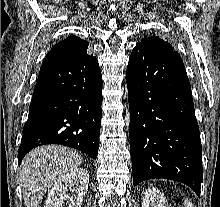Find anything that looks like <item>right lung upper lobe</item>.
<instances>
[{
	"label": "right lung upper lobe",
	"instance_id": "cb5924a9",
	"mask_svg": "<svg viewBox=\"0 0 220 207\" xmlns=\"http://www.w3.org/2000/svg\"><path fill=\"white\" fill-rule=\"evenodd\" d=\"M88 42L70 35L58 42L46 55L44 61H58L77 57L87 53Z\"/></svg>",
	"mask_w": 220,
	"mask_h": 207
}]
</instances>
